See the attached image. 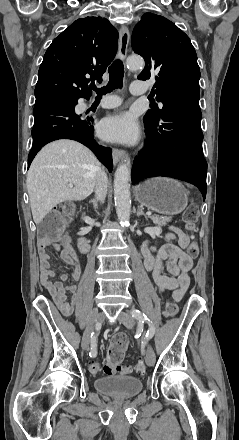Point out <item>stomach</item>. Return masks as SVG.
Returning a JSON list of instances; mask_svg holds the SVG:
<instances>
[{"mask_svg":"<svg viewBox=\"0 0 239 440\" xmlns=\"http://www.w3.org/2000/svg\"><path fill=\"white\" fill-rule=\"evenodd\" d=\"M134 194L137 202L158 214H180L188 204L189 192L171 178H151L135 186Z\"/></svg>","mask_w":239,"mask_h":440,"instance_id":"obj_1","label":"stomach"}]
</instances>
